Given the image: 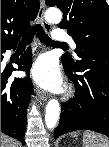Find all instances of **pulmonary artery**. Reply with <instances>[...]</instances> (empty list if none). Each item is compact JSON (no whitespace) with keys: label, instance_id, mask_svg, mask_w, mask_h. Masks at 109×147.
Segmentation results:
<instances>
[{"label":"pulmonary artery","instance_id":"e3ab8cb5","mask_svg":"<svg viewBox=\"0 0 109 147\" xmlns=\"http://www.w3.org/2000/svg\"><path fill=\"white\" fill-rule=\"evenodd\" d=\"M51 37L54 41H56L58 44H64L65 41L69 40V36L63 32H54L51 33ZM71 46L73 48L76 47L75 43L71 41Z\"/></svg>","mask_w":109,"mask_h":147}]
</instances>
